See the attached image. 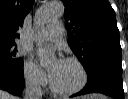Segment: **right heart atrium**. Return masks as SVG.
<instances>
[{"label":"right heart atrium","mask_w":128,"mask_h":99,"mask_svg":"<svg viewBox=\"0 0 128 99\" xmlns=\"http://www.w3.org/2000/svg\"><path fill=\"white\" fill-rule=\"evenodd\" d=\"M24 79L26 84L34 89L42 88L47 82L44 73L32 60H27L24 63Z\"/></svg>","instance_id":"d8ad5b80"}]
</instances>
